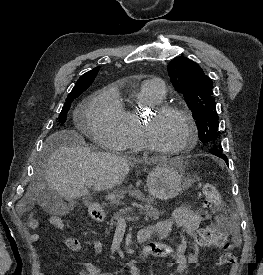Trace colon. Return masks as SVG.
<instances>
[{
	"label": "colon",
	"mask_w": 263,
	"mask_h": 275,
	"mask_svg": "<svg viewBox=\"0 0 263 275\" xmlns=\"http://www.w3.org/2000/svg\"><path fill=\"white\" fill-rule=\"evenodd\" d=\"M199 194L203 197L208 207L218 208L222 205V195L212 183H201L199 185ZM54 224H59V218H54ZM200 242L203 246L222 248L224 252L217 260L218 266L232 265L236 257L231 251V245L228 243L225 233L215 226H208L201 230L199 235Z\"/></svg>",
	"instance_id": "obj_1"
}]
</instances>
